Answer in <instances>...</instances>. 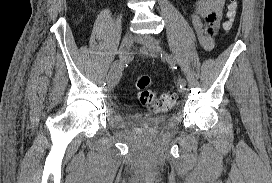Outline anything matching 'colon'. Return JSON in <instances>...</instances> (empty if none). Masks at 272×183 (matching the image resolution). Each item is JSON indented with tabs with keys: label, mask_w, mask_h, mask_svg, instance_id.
I'll return each mask as SVG.
<instances>
[{
	"label": "colon",
	"mask_w": 272,
	"mask_h": 183,
	"mask_svg": "<svg viewBox=\"0 0 272 183\" xmlns=\"http://www.w3.org/2000/svg\"><path fill=\"white\" fill-rule=\"evenodd\" d=\"M238 4L236 0H231L226 9V22L224 27L229 30L235 20L237 14ZM136 88L139 91L141 103L147 108L155 111L164 112L169 110L175 103V96L172 93H163L156 96L149 88L151 85V78L148 75H140L136 79Z\"/></svg>",
	"instance_id": "obj_1"
}]
</instances>
